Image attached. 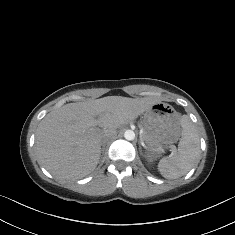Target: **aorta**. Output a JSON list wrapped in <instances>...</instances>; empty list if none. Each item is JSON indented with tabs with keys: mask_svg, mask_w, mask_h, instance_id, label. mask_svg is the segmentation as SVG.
I'll return each instance as SVG.
<instances>
[{
	"mask_svg": "<svg viewBox=\"0 0 235 235\" xmlns=\"http://www.w3.org/2000/svg\"><path fill=\"white\" fill-rule=\"evenodd\" d=\"M124 137L128 141H133L135 139V133L132 130H127L124 133Z\"/></svg>",
	"mask_w": 235,
	"mask_h": 235,
	"instance_id": "762f6f07",
	"label": "aorta"
}]
</instances>
